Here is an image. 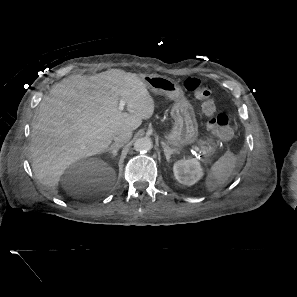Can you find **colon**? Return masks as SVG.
<instances>
[{"instance_id": "colon-1", "label": "colon", "mask_w": 297, "mask_h": 297, "mask_svg": "<svg viewBox=\"0 0 297 297\" xmlns=\"http://www.w3.org/2000/svg\"><path fill=\"white\" fill-rule=\"evenodd\" d=\"M184 88L196 95L202 102V110L209 117L208 128L210 131L224 139H228L232 135L230 120L227 114L217 113L215 103L212 98V87L209 83L195 77L185 79Z\"/></svg>"}]
</instances>
